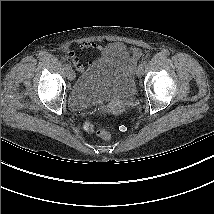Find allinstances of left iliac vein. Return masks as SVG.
I'll list each match as a JSON object with an SVG mask.
<instances>
[{
	"label": "left iliac vein",
	"instance_id": "obj_1",
	"mask_svg": "<svg viewBox=\"0 0 214 214\" xmlns=\"http://www.w3.org/2000/svg\"><path fill=\"white\" fill-rule=\"evenodd\" d=\"M143 72H144V66L139 65V66L137 67V69H136V75H137L138 77H140V76L143 74Z\"/></svg>",
	"mask_w": 214,
	"mask_h": 214
}]
</instances>
